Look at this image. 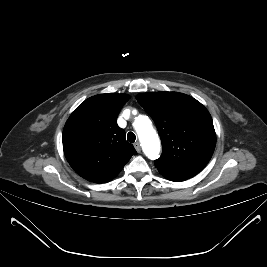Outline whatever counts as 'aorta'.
<instances>
[{"mask_svg": "<svg viewBox=\"0 0 267 267\" xmlns=\"http://www.w3.org/2000/svg\"><path fill=\"white\" fill-rule=\"evenodd\" d=\"M143 152L150 159H156L160 152V140L148 116L139 115L133 122Z\"/></svg>", "mask_w": 267, "mask_h": 267, "instance_id": "aorta-1", "label": "aorta"}]
</instances>
